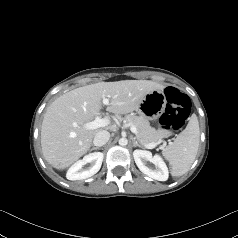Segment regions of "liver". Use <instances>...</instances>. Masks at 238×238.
Returning <instances> with one entry per match:
<instances>
[{
	"label": "liver",
	"mask_w": 238,
	"mask_h": 238,
	"mask_svg": "<svg viewBox=\"0 0 238 238\" xmlns=\"http://www.w3.org/2000/svg\"><path fill=\"white\" fill-rule=\"evenodd\" d=\"M164 86L148 80L99 82L71 90L47 108L41 127V147L45 160L63 170L86 154L100 129L85 124L99 115L102 99L106 110L117 115L138 110L145 96Z\"/></svg>",
	"instance_id": "6515ba94"
}]
</instances>
